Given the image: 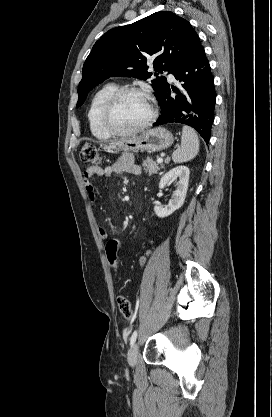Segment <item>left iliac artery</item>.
Masks as SVG:
<instances>
[{
    "instance_id": "obj_1",
    "label": "left iliac artery",
    "mask_w": 272,
    "mask_h": 417,
    "mask_svg": "<svg viewBox=\"0 0 272 417\" xmlns=\"http://www.w3.org/2000/svg\"><path fill=\"white\" fill-rule=\"evenodd\" d=\"M136 338H137V330H135V331L133 332L132 336L130 337V345H131V346L135 343Z\"/></svg>"
}]
</instances>
